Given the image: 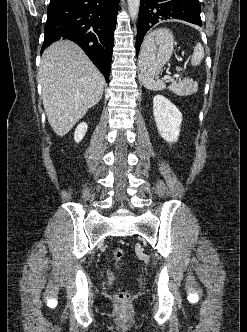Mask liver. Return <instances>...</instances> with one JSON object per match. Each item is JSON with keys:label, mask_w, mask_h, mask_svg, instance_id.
<instances>
[{"label": "liver", "mask_w": 247, "mask_h": 332, "mask_svg": "<svg viewBox=\"0 0 247 332\" xmlns=\"http://www.w3.org/2000/svg\"><path fill=\"white\" fill-rule=\"evenodd\" d=\"M48 122L66 135L102 98L105 79L74 42L60 40L43 53L38 72Z\"/></svg>", "instance_id": "6515ba94"}]
</instances>
